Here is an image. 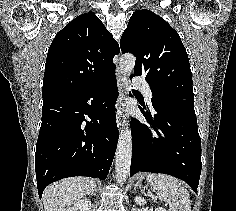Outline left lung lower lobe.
I'll return each instance as SVG.
<instances>
[{
	"label": "left lung lower lobe",
	"instance_id": "obj_1",
	"mask_svg": "<svg viewBox=\"0 0 236 211\" xmlns=\"http://www.w3.org/2000/svg\"><path fill=\"white\" fill-rule=\"evenodd\" d=\"M139 108L148 125L131 120L130 176L139 171L169 174L197 193L202 163L196 115L155 106Z\"/></svg>",
	"mask_w": 236,
	"mask_h": 211
}]
</instances>
